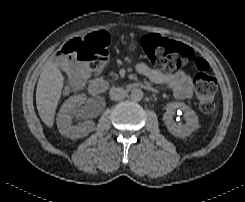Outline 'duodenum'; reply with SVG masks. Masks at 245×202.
Here are the masks:
<instances>
[{
  "instance_id": "410a0bca",
  "label": "duodenum",
  "mask_w": 245,
  "mask_h": 202,
  "mask_svg": "<svg viewBox=\"0 0 245 202\" xmlns=\"http://www.w3.org/2000/svg\"><path fill=\"white\" fill-rule=\"evenodd\" d=\"M106 88H107V82L102 80V79H92L88 83V91H89L90 95H92V96H97V95L101 94L102 92L105 91ZM129 88H131V89L139 88V89L147 90L149 92H155L154 87H152L150 84H148L146 82H142V81L129 84Z\"/></svg>"
}]
</instances>
